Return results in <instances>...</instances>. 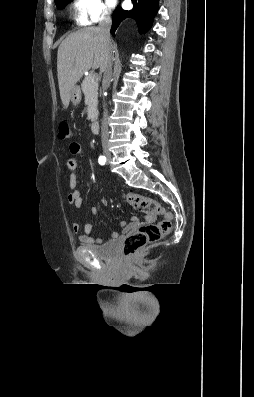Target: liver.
<instances>
[{
    "label": "liver",
    "instance_id": "1",
    "mask_svg": "<svg viewBox=\"0 0 254 397\" xmlns=\"http://www.w3.org/2000/svg\"><path fill=\"white\" fill-rule=\"evenodd\" d=\"M113 48L111 44L112 51ZM108 52L98 27L80 29L62 41L57 53V76L65 109L69 106L72 88L86 71L91 67L104 71Z\"/></svg>",
    "mask_w": 254,
    "mask_h": 397
}]
</instances>
